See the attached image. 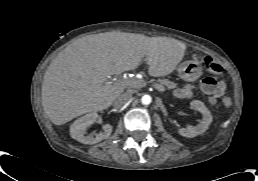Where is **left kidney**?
<instances>
[{
  "label": "left kidney",
  "mask_w": 258,
  "mask_h": 181,
  "mask_svg": "<svg viewBox=\"0 0 258 181\" xmlns=\"http://www.w3.org/2000/svg\"><path fill=\"white\" fill-rule=\"evenodd\" d=\"M191 108L199 111L203 117L202 120L196 126H188L186 128L178 129V133L181 136L193 138L197 135L203 134L209 127L212 122V115L208 108L204 105L203 102L199 100H194L190 103Z\"/></svg>",
  "instance_id": "obj_1"
}]
</instances>
